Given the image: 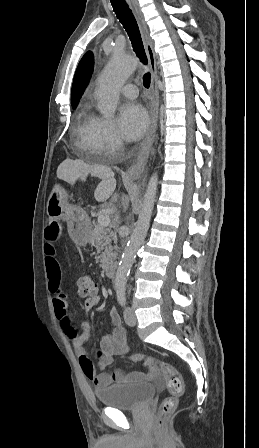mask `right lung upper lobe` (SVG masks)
I'll return each mask as SVG.
<instances>
[{"instance_id": "cb5924a9", "label": "right lung upper lobe", "mask_w": 259, "mask_h": 448, "mask_svg": "<svg viewBox=\"0 0 259 448\" xmlns=\"http://www.w3.org/2000/svg\"><path fill=\"white\" fill-rule=\"evenodd\" d=\"M93 54L88 51L81 59L75 72V77L71 90V104L73 108H76L81 95L84 92L91 74L93 72Z\"/></svg>"}]
</instances>
